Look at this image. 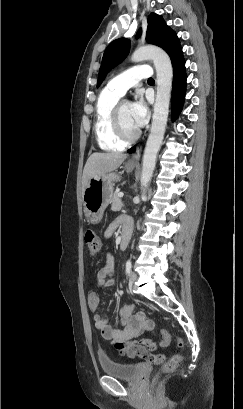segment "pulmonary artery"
Listing matches in <instances>:
<instances>
[{
    "label": "pulmonary artery",
    "instance_id": "obj_1",
    "mask_svg": "<svg viewBox=\"0 0 243 409\" xmlns=\"http://www.w3.org/2000/svg\"><path fill=\"white\" fill-rule=\"evenodd\" d=\"M150 76L151 72L146 66H135L110 79L107 87L123 96L129 88Z\"/></svg>",
    "mask_w": 243,
    "mask_h": 409
}]
</instances>
